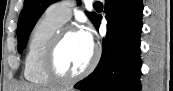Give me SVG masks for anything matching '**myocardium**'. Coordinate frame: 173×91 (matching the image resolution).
I'll return each mask as SVG.
<instances>
[{"label":"myocardium","mask_w":173,"mask_h":91,"mask_svg":"<svg viewBox=\"0 0 173 91\" xmlns=\"http://www.w3.org/2000/svg\"><path fill=\"white\" fill-rule=\"evenodd\" d=\"M73 32H79V30L71 25L62 26L48 42L41 60V68L44 75L52 82L56 84H70L85 78L96 67L99 60V49L96 46H92V58L89 64L79 73L74 75H66L60 73L56 67V57L58 49L64 40V38Z\"/></svg>","instance_id":"f54148a6"}]
</instances>
